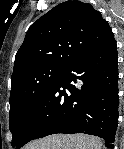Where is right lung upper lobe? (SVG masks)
Returning <instances> with one entry per match:
<instances>
[{"mask_svg": "<svg viewBox=\"0 0 124 149\" xmlns=\"http://www.w3.org/2000/svg\"><path fill=\"white\" fill-rule=\"evenodd\" d=\"M112 39L109 24L91 4L78 0L60 3L28 29L15 57L12 86L41 67L64 68Z\"/></svg>", "mask_w": 124, "mask_h": 149, "instance_id": "cb5924a9", "label": "right lung upper lobe"}]
</instances>
